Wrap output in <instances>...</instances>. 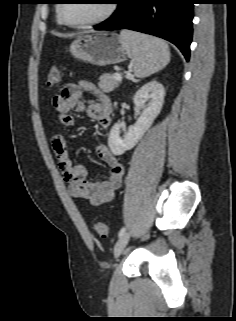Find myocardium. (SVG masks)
Instances as JSON below:
<instances>
[{
  "label": "myocardium",
  "mask_w": 236,
  "mask_h": 321,
  "mask_svg": "<svg viewBox=\"0 0 236 321\" xmlns=\"http://www.w3.org/2000/svg\"><path fill=\"white\" fill-rule=\"evenodd\" d=\"M65 3H60L57 7V14L58 18L60 21L69 26V27H74V28H85V27H90V26H95L98 24L103 23L104 21L108 20L116 11V2L115 0H109L107 1V9L106 11L98 18L90 21H85V22H71L67 20L63 14V7Z\"/></svg>",
  "instance_id": "myocardium-1"
}]
</instances>
